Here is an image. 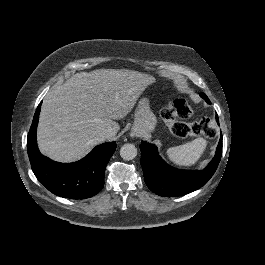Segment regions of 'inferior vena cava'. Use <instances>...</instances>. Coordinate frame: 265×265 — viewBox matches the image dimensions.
I'll use <instances>...</instances> for the list:
<instances>
[{"label":"inferior vena cava","instance_id":"inferior-vena-cava-1","mask_svg":"<svg viewBox=\"0 0 265 265\" xmlns=\"http://www.w3.org/2000/svg\"><path fill=\"white\" fill-rule=\"evenodd\" d=\"M103 136L106 140H112L116 136V132L113 128L109 127L103 132Z\"/></svg>","mask_w":265,"mask_h":265}]
</instances>
